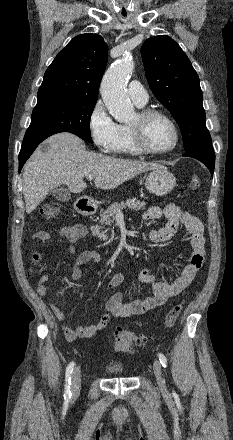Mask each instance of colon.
I'll list each match as a JSON object with an SVG mask.
<instances>
[{"instance_id":"colon-1","label":"colon","mask_w":233,"mask_h":440,"mask_svg":"<svg viewBox=\"0 0 233 440\" xmlns=\"http://www.w3.org/2000/svg\"><path fill=\"white\" fill-rule=\"evenodd\" d=\"M200 186V178L193 176L190 180V188L192 190L198 189ZM59 213V208L56 204H45L41 208V216L45 219H53ZM38 254L33 255V261L37 262ZM183 310V303L173 306L164 318L163 327H172L179 318ZM152 338L147 336L137 335L123 327H118L114 331V345L118 352L130 354L134 347H145Z\"/></svg>"}]
</instances>
